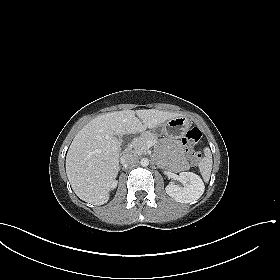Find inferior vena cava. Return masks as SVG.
Instances as JSON below:
<instances>
[{"label":"inferior vena cava","mask_w":280,"mask_h":280,"mask_svg":"<svg viewBox=\"0 0 280 280\" xmlns=\"http://www.w3.org/2000/svg\"><path fill=\"white\" fill-rule=\"evenodd\" d=\"M120 161L123 165H133L139 161V158L136 154L126 153L122 155Z\"/></svg>","instance_id":"1"}]
</instances>
